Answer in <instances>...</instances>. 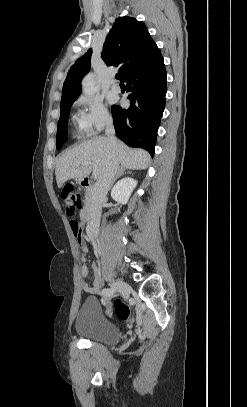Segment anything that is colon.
Here are the masks:
<instances>
[{"instance_id":"1","label":"colon","mask_w":247,"mask_h":407,"mask_svg":"<svg viewBox=\"0 0 247 407\" xmlns=\"http://www.w3.org/2000/svg\"><path fill=\"white\" fill-rule=\"evenodd\" d=\"M61 196L64 202L66 215L73 216L81 205L80 196L75 192L72 185L65 186L61 191ZM71 228L76 236L80 235L81 228L78 222L72 221ZM115 312L117 317L122 321H127L130 318V308L121 300L115 302Z\"/></svg>"}]
</instances>
